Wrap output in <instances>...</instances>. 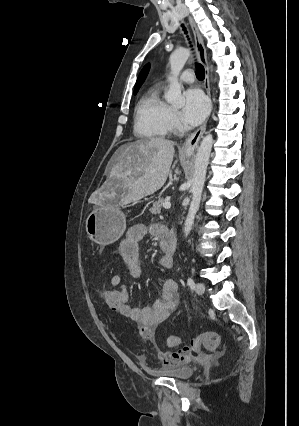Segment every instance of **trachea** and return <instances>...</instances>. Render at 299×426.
<instances>
[{"label": "trachea", "mask_w": 299, "mask_h": 426, "mask_svg": "<svg viewBox=\"0 0 299 426\" xmlns=\"http://www.w3.org/2000/svg\"><path fill=\"white\" fill-rule=\"evenodd\" d=\"M183 30L185 31V33L187 34L186 28L184 27V25L182 24ZM197 77L199 80H203L205 78V70L204 67L201 64L197 65Z\"/></svg>", "instance_id": "3493384b"}]
</instances>
